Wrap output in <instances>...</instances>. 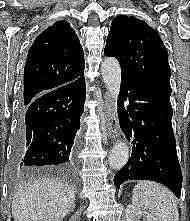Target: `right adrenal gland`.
Segmentation results:
<instances>
[{"label": "right adrenal gland", "mask_w": 190, "mask_h": 221, "mask_svg": "<svg viewBox=\"0 0 190 221\" xmlns=\"http://www.w3.org/2000/svg\"><path fill=\"white\" fill-rule=\"evenodd\" d=\"M74 208H75V204H73L72 208H71V211L73 212L74 211Z\"/></svg>", "instance_id": "right-adrenal-gland-1"}]
</instances>
